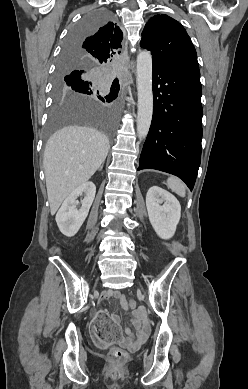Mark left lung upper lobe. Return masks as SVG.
Instances as JSON below:
<instances>
[{"label":"left lung upper lobe","mask_w":248,"mask_h":389,"mask_svg":"<svg viewBox=\"0 0 248 389\" xmlns=\"http://www.w3.org/2000/svg\"><path fill=\"white\" fill-rule=\"evenodd\" d=\"M140 45L150 50L153 61L160 64L197 62L196 50L186 30L175 19L164 14L149 19Z\"/></svg>","instance_id":"left-lung-upper-lobe-1"}]
</instances>
